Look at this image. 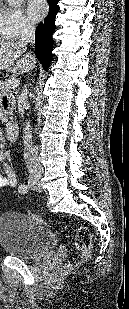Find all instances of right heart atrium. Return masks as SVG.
Masks as SVG:
<instances>
[{"label":"right heart atrium","mask_w":129,"mask_h":309,"mask_svg":"<svg viewBox=\"0 0 129 309\" xmlns=\"http://www.w3.org/2000/svg\"><path fill=\"white\" fill-rule=\"evenodd\" d=\"M34 29L31 21L20 7H0V36L6 40H17Z\"/></svg>","instance_id":"obj_1"}]
</instances>
